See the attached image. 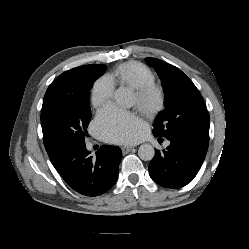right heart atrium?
<instances>
[{"instance_id": "right-heart-atrium-1", "label": "right heart atrium", "mask_w": 249, "mask_h": 249, "mask_svg": "<svg viewBox=\"0 0 249 249\" xmlns=\"http://www.w3.org/2000/svg\"><path fill=\"white\" fill-rule=\"evenodd\" d=\"M115 83L107 75L100 77L93 85L91 102L95 107L107 104L114 93Z\"/></svg>"}]
</instances>
